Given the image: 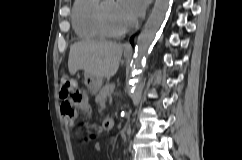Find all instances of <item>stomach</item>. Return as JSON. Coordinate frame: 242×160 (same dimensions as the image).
Here are the masks:
<instances>
[{
    "mask_svg": "<svg viewBox=\"0 0 242 160\" xmlns=\"http://www.w3.org/2000/svg\"><path fill=\"white\" fill-rule=\"evenodd\" d=\"M84 83L91 94H96L102 87V80L93 75H85Z\"/></svg>",
    "mask_w": 242,
    "mask_h": 160,
    "instance_id": "0dacf381",
    "label": "stomach"
}]
</instances>
